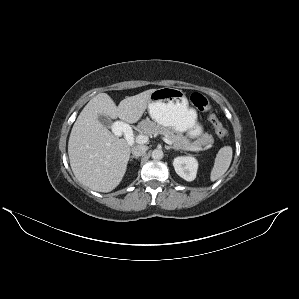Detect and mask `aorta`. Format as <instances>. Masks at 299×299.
<instances>
[{"instance_id": "aorta-1", "label": "aorta", "mask_w": 299, "mask_h": 299, "mask_svg": "<svg viewBox=\"0 0 299 299\" xmlns=\"http://www.w3.org/2000/svg\"><path fill=\"white\" fill-rule=\"evenodd\" d=\"M163 156H164V154H163V151L161 149H155L152 152V158L154 160H160V159L163 158Z\"/></svg>"}]
</instances>
